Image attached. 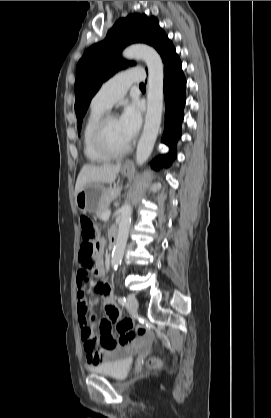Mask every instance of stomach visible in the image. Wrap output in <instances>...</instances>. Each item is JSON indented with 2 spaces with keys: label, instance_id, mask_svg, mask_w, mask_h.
I'll use <instances>...</instances> for the list:
<instances>
[{
  "label": "stomach",
  "instance_id": "0dacf381",
  "mask_svg": "<svg viewBox=\"0 0 271 418\" xmlns=\"http://www.w3.org/2000/svg\"><path fill=\"white\" fill-rule=\"evenodd\" d=\"M121 172L125 176L131 175V169L123 167ZM107 188L103 183L91 182L86 184L76 195L75 203L82 213H94L98 210Z\"/></svg>",
  "mask_w": 271,
  "mask_h": 418
}]
</instances>
